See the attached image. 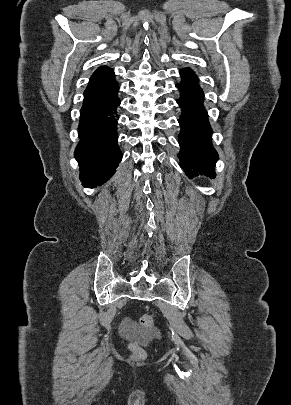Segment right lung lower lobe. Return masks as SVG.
Listing matches in <instances>:
<instances>
[{"mask_svg": "<svg viewBox=\"0 0 291 405\" xmlns=\"http://www.w3.org/2000/svg\"><path fill=\"white\" fill-rule=\"evenodd\" d=\"M119 85L114 73L91 80L80 110L79 137L74 157L84 187L107 182L115 173L122 152L117 141Z\"/></svg>", "mask_w": 291, "mask_h": 405, "instance_id": "1", "label": "right lung lower lobe"}]
</instances>
